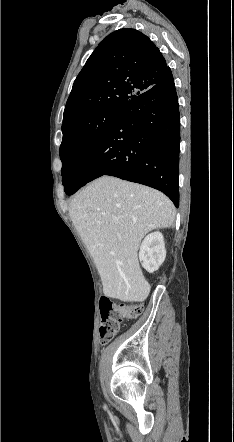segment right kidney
<instances>
[{
	"label": "right kidney",
	"mask_w": 234,
	"mask_h": 442,
	"mask_svg": "<svg viewBox=\"0 0 234 442\" xmlns=\"http://www.w3.org/2000/svg\"><path fill=\"white\" fill-rule=\"evenodd\" d=\"M166 257L165 243L162 233L153 232L148 234L139 251V259L142 267L153 273L158 270Z\"/></svg>",
	"instance_id": "ca27d5eb"
}]
</instances>
